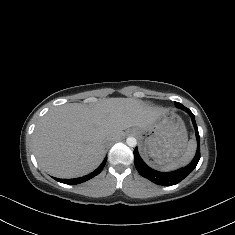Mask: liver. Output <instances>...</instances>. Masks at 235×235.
<instances>
[{
    "label": "liver",
    "mask_w": 235,
    "mask_h": 235,
    "mask_svg": "<svg viewBox=\"0 0 235 235\" xmlns=\"http://www.w3.org/2000/svg\"><path fill=\"white\" fill-rule=\"evenodd\" d=\"M166 111L132 98H110L92 108L82 104L55 107L36 125L34 154L43 171L58 178L84 176L103 160L106 143L130 127L144 129Z\"/></svg>",
    "instance_id": "liver-1"
}]
</instances>
